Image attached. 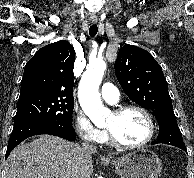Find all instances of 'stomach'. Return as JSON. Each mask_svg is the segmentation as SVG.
<instances>
[{
	"instance_id": "stomach-1",
	"label": "stomach",
	"mask_w": 194,
	"mask_h": 178,
	"mask_svg": "<svg viewBox=\"0 0 194 178\" xmlns=\"http://www.w3.org/2000/svg\"><path fill=\"white\" fill-rule=\"evenodd\" d=\"M112 163L121 178H158L162 170L160 159L148 149L113 159Z\"/></svg>"
}]
</instances>
